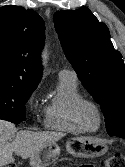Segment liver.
<instances>
[{"mask_svg":"<svg viewBox=\"0 0 125 167\" xmlns=\"http://www.w3.org/2000/svg\"><path fill=\"white\" fill-rule=\"evenodd\" d=\"M64 136L61 132H17L14 124L0 120V167L15 161L13 153L22 159L31 158L44 147L56 143ZM13 138L12 142H8Z\"/></svg>","mask_w":125,"mask_h":167,"instance_id":"obj_1","label":"liver"}]
</instances>
